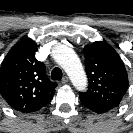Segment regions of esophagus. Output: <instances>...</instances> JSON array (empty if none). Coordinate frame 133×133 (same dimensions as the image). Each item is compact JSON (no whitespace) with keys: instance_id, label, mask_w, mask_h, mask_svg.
Segmentation results:
<instances>
[{"instance_id":"esophagus-1","label":"esophagus","mask_w":133,"mask_h":133,"mask_svg":"<svg viewBox=\"0 0 133 133\" xmlns=\"http://www.w3.org/2000/svg\"><path fill=\"white\" fill-rule=\"evenodd\" d=\"M69 81V78L67 76H64L61 80L62 84H66Z\"/></svg>"}]
</instances>
